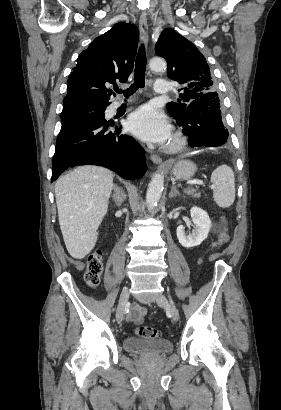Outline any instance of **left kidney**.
Segmentation results:
<instances>
[{
    "label": "left kidney",
    "mask_w": 281,
    "mask_h": 410,
    "mask_svg": "<svg viewBox=\"0 0 281 410\" xmlns=\"http://www.w3.org/2000/svg\"><path fill=\"white\" fill-rule=\"evenodd\" d=\"M190 214L195 225L192 233L187 235L182 225L178 226L176 230L179 243L186 248L200 245L207 238L211 225L210 218L205 210L192 207Z\"/></svg>",
    "instance_id": "obj_1"
}]
</instances>
